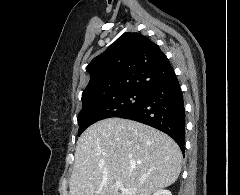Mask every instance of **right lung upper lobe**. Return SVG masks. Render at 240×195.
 Returning <instances> with one entry per match:
<instances>
[{"instance_id":"right-lung-upper-lobe-1","label":"right lung upper lobe","mask_w":240,"mask_h":195,"mask_svg":"<svg viewBox=\"0 0 240 195\" xmlns=\"http://www.w3.org/2000/svg\"><path fill=\"white\" fill-rule=\"evenodd\" d=\"M91 78L83 99L98 98L120 90L148 91L174 74L160 48L138 33H125L87 66Z\"/></svg>"}]
</instances>
